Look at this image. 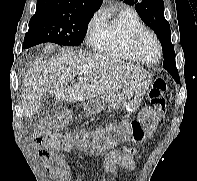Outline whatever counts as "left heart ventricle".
Instances as JSON below:
<instances>
[{"label": "left heart ventricle", "instance_id": "obj_1", "mask_svg": "<svg viewBox=\"0 0 197 181\" xmlns=\"http://www.w3.org/2000/svg\"><path fill=\"white\" fill-rule=\"evenodd\" d=\"M141 47L145 57L149 60H155L158 56V48L154 40L150 37L144 38Z\"/></svg>", "mask_w": 197, "mask_h": 181}]
</instances>
